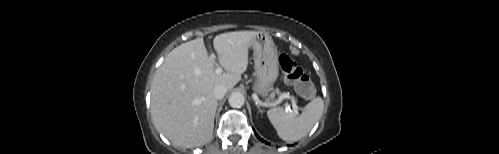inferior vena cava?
Here are the masks:
<instances>
[{"label": "inferior vena cava", "mask_w": 499, "mask_h": 154, "mask_svg": "<svg viewBox=\"0 0 499 154\" xmlns=\"http://www.w3.org/2000/svg\"><path fill=\"white\" fill-rule=\"evenodd\" d=\"M226 92H227V87L222 84L216 85L213 89V95L217 100L222 99L225 96Z\"/></svg>", "instance_id": "inferior-vena-cava-1"}]
</instances>
